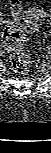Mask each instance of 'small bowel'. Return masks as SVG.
Instances as JSON below:
<instances>
[{
	"instance_id": "small-bowel-1",
	"label": "small bowel",
	"mask_w": 51,
	"mask_h": 153,
	"mask_svg": "<svg viewBox=\"0 0 51 153\" xmlns=\"http://www.w3.org/2000/svg\"><path fill=\"white\" fill-rule=\"evenodd\" d=\"M29 13H30L31 16L38 17V15H36L34 12L30 11Z\"/></svg>"
}]
</instances>
